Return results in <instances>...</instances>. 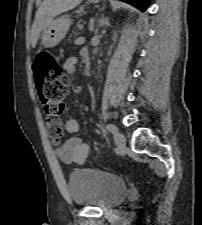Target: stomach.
<instances>
[{
    "label": "stomach",
    "mask_w": 202,
    "mask_h": 225,
    "mask_svg": "<svg viewBox=\"0 0 202 225\" xmlns=\"http://www.w3.org/2000/svg\"><path fill=\"white\" fill-rule=\"evenodd\" d=\"M100 0H90L91 3H98ZM72 20L68 16L57 17L42 30L41 44L45 48H52L58 45L66 36Z\"/></svg>",
    "instance_id": "0dacf381"
}]
</instances>
